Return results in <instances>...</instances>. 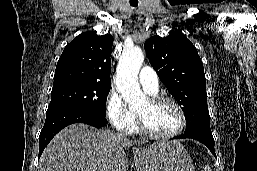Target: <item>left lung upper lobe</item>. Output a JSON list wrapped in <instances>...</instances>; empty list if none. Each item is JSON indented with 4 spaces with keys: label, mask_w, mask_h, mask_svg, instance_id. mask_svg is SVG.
I'll return each mask as SVG.
<instances>
[{
    "label": "left lung upper lobe",
    "mask_w": 257,
    "mask_h": 171,
    "mask_svg": "<svg viewBox=\"0 0 257 171\" xmlns=\"http://www.w3.org/2000/svg\"><path fill=\"white\" fill-rule=\"evenodd\" d=\"M144 48L160 80L182 106L185 132H211L203 63L195 46L181 33L154 36Z\"/></svg>",
    "instance_id": "left-lung-upper-lobe-1"
}]
</instances>
